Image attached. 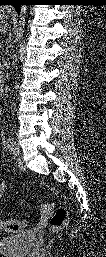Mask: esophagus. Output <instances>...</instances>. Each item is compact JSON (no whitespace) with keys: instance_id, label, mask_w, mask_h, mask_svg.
<instances>
[{"instance_id":"esophagus-1","label":"esophagus","mask_w":106,"mask_h":257,"mask_svg":"<svg viewBox=\"0 0 106 257\" xmlns=\"http://www.w3.org/2000/svg\"><path fill=\"white\" fill-rule=\"evenodd\" d=\"M6 9H7V10H9L10 8H9V7H7Z\"/></svg>"}]
</instances>
